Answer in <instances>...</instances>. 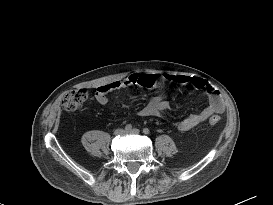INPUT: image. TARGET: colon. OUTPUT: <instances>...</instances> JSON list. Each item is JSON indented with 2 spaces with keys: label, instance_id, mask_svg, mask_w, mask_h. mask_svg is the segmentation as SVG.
Listing matches in <instances>:
<instances>
[{
  "label": "colon",
  "instance_id": "colon-1",
  "mask_svg": "<svg viewBox=\"0 0 273 205\" xmlns=\"http://www.w3.org/2000/svg\"><path fill=\"white\" fill-rule=\"evenodd\" d=\"M88 99V93L84 89H73L66 92L62 97V106L66 111L81 109ZM220 119L214 115L210 118L211 125H217Z\"/></svg>",
  "mask_w": 273,
  "mask_h": 205
}]
</instances>
